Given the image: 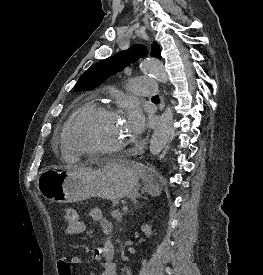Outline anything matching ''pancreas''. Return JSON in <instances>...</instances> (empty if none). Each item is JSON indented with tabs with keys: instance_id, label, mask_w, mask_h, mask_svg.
Returning <instances> with one entry per match:
<instances>
[{
	"instance_id": "cf45deb5",
	"label": "pancreas",
	"mask_w": 263,
	"mask_h": 275,
	"mask_svg": "<svg viewBox=\"0 0 263 275\" xmlns=\"http://www.w3.org/2000/svg\"><path fill=\"white\" fill-rule=\"evenodd\" d=\"M111 215L113 218H115L118 222L121 221L122 217H123V213L120 212L118 209L113 210L111 212Z\"/></svg>"
}]
</instances>
